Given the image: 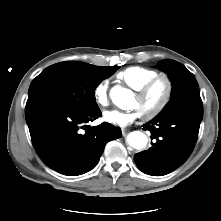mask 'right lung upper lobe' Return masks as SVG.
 <instances>
[{"label":"right lung upper lobe","mask_w":221,"mask_h":221,"mask_svg":"<svg viewBox=\"0 0 221 221\" xmlns=\"http://www.w3.org/2000/svg\"><path fill=\"white\" fill-rule=\"evenodd\" d=\"M72 62H74V61H72ZM74 63L77 64V65L84 66V67H89V68L98 67V66L90 65V64H87V63H83V62H78V61H76Z\"/></svg>","instance_id":"right-lung-upper-lobe-1"}]
</instances>
